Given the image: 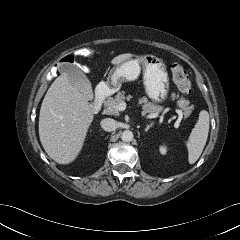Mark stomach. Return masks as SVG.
<instances>
[{
	"label": "stomach",
	"instance_id": "stomach-1",
	"mask_svg": "<svg viewBox=\"0 0 240 240\" xmlns=\"http://www.w3.org/2000/svg\"><path fill=\"white\" fill-rule=\"evenodd\" d=\"M143 70V84L148 97L154 102H162L169 91V77L163 61L151 54L132 55L128 60L114 67L107 78V85L114 91L123 82L135 81Z\"/></svg>",
	"mask_w": 240,
	"mask_h": 240
}]
</instances>
